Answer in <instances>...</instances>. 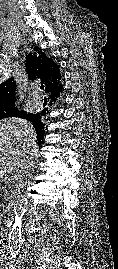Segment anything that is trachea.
Wrapping results in <instances>:
<instances>
[{
	"instance_id": "1",
	"label": "trachea",
	"mask_w": 118,
	"mask_h": 269,
	"mask_svg": "<svg viewBox=\"0 0 118 269\" xmlns=\"http://www.w3.org/2000/svg\"><path fill=\"white\" fill-rule=\"evenodd\" d=\"M40 89H41V90L44 89V85H43V84L40 85Z\"/></svg>"
}]
</instances>
